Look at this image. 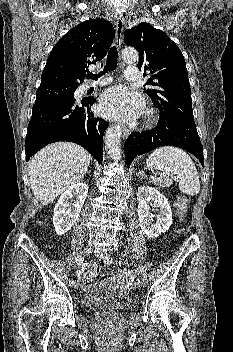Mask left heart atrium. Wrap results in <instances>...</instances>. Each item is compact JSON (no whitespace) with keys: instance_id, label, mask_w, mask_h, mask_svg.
<instances>
[{"instance_id":"1","label":"left heart atrium","mask_w":233,"mask_h":352,"mask_svg":"<svg viewBox=\"0 0 233 352\" xmlns=\"http://www.w3.org/2000/svg\"><path fill=\"white\" fill-rule=\"evenodd\" d=\"M143 107L141 97L117 86L106 90L99 103L101 113L109 118L132 120L140 113Z\"/></svg>"}]
</instances>
